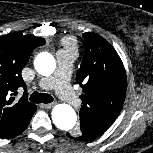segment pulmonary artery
Here are the masks:
<instances>
[{"label": "pulmonary artery", "mask_w": 153, "mask_h": 153, "mask_svg": "<svg viewBox=\"0 0 153 153\" xmlns=\"http://www.w3.org/2000/svg\"><path fill=\"white\" fill-rule=\"evenodd\" d=\"M75 52L73 50H60L57 52V70L53 76L40 80L39 86L42 89H55L61 99L72 106H78L81 100L75 94L69 84V77Z\"/></svg>", "instance_id": "e3ab8cb5"}]
</instances>
